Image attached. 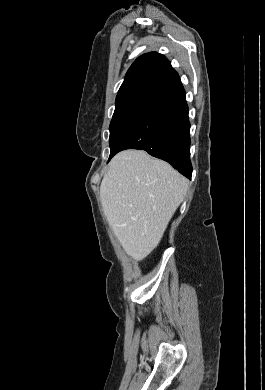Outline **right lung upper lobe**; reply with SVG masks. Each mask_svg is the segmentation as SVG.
I'll use <instances>...</instances> for the list:
<instances>
[{
  "instance_id": "obj_1",
  "label": "right lung upper lobe",
  "mask_w": 265,
  "mask_h": 390,
  "mask_svg": "<svg viewBox=\"0 0 265 390\" xmlns=\"http://www.w3.org/2000/svg\"><path fill=\"white\" fill-rule=\"evenodd\" d=\"M181 83L165 56L150 52L138 57L128 69L116 102L133 97L156 99Z\"/></svg>"
}]
</instances>
